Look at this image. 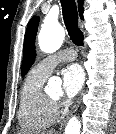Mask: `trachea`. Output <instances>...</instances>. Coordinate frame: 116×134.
Wrapping results in <instances>:
<instances>
[{
    "label": "trachea",
    "instance_id": "trachea-1",
    "mask_svg": "<svg viewBox=\"0 0 116 134\" xmlns=\"http://www.w3.org/2000/svg\"><path fill=\"white\" fill-rule=\"evenodd\" d=\"M63 19L72 42L83 46L84 35L78 27V12L75 0H61Z\"/></svg>",
    "mask_w": 116,
    "mask_h": 134
}]
</instances>
